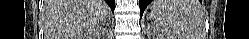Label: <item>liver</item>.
I'll use <instances>...</instances> for the list:
<instances>
[{"mask_svg": "<svg viewBox=\"0 0 249 39\" xmlns=\"http://www.w3.org/2000/svg\"><path fill=\"white\" fill-rule=\"evenodd\" d=\"M110 9L104 0H44L47 39H88L106 21Z\"/></svg>", "mask_w": 249, "mask_h": 39, "instance_id": "liver-1", "label": "liver"}]
</instances>
